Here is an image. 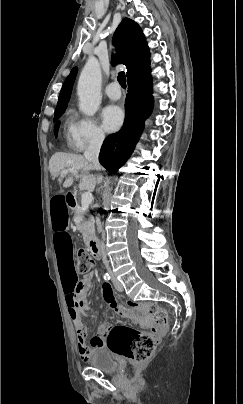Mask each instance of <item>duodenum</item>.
<instances>
[{
    "instance_id": "obj_1",
    "label": "duodenum",
    "mask_w": 243,
    "mask_h": 404,
    "mask_svg": "<svg viewBox=\"0 0 243 404\" xmlns=\"http://www.w3.org/2000/svg\"><path fill=\"white\" fill-rule=\"evenodd\" d=\"M67 202H68L69 207L72 210H76L78 208L77 197L72 192L67 193ZM88 249H89V252L91 253V255L95 259L99 260L101 258L100 249H99L98 242L96 239H91L88 242Z\"/></svg>"
}]
</instances>
